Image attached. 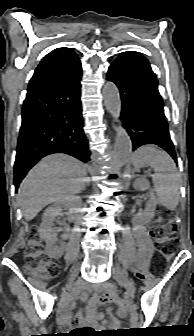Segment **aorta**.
I'll return each mask as SVG.
<instances>
[{
  "instance_id": "762f6f07",
  "label": "aorta",
  "mask_w": 194,
  "mask_h": 336,
  "mask_svg": "<svg viewBox=\"0 0 194 336\" xmlns=\"http://www.w3.org/2000/svg\"><path fill=\"white\" fill-rule=\"evenodd\" d=\"M103 98L106 109L117 123L112 165L115 169H121L127 164L131 156L132 141L127 131L122 126V121L120 119V94L117 86L113 82H107L105 84L103 88Z\"/></svg>"
}]
</instances>
